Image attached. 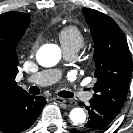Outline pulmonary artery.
Returning a JSON list of instances; mask_svg holds the SVG:
<instances>
[{"instance_id": "1", "label": "pulmonary artery", "mask_w": 133, "mask_h": 133, "mask_svg": "<svg viewBox=\"0 0 133 133\" xmlns=\"http://www.w3.org/2000/svg\"><path fill=\"white\" fill-rule=\"evenodd\" d=\"M68 60H72L76 57L75 51L64 52ZM62 77V71L60 69H49L40 71L27 79L28 83H32L39 86H46L56 83ZM75 97L82 98L85 101L91 99V93L79 92V90L71 91Z\"/></svg>"}]
</instances>
